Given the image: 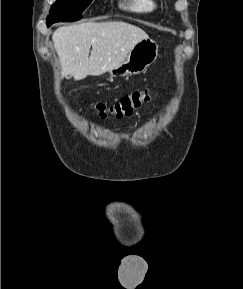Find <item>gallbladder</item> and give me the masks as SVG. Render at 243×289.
<instances>
[{"instance_id":"gallbladder-1","label":"gallbladder","mask_w":243,"mask_h":289,"mask_svg":"<svg viewBox=\"0 0 243 289\" xmlns=\"http://www.w3.org/2000/svg\"><path fill=\"white\" fill-rule=\"evenodd\" d=\"M67 78L70 79V76L68 75Z\"/></svg>"}]
</instances>
